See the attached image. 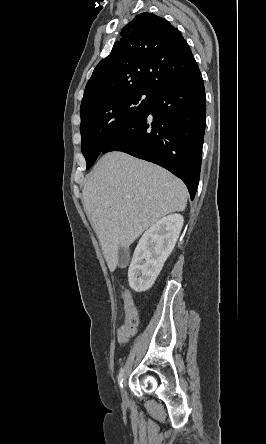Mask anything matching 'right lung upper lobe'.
Here are the masks:
<instances>
[{"instance_id": "right-lung-upper-lobe-1", "label": "right lung upper lobe", "mask_w": 266, "mask_h": 444, "mask_svg": "<svg viewBox=\"0 0 266 444\" xmlns=\"http://www.w3.org/2000/svg\"><path fill=\"white\" fill-rule=\"evenodd\" d=\"M198 65L181 32L166 19L144 12L121 31L108 57L88 81L81 109L124 90L159 89L189 77Z\"/></svg>"}]
</instances>
